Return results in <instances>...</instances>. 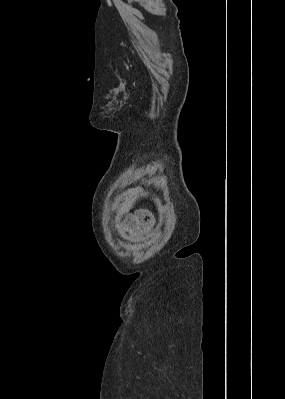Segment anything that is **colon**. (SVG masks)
Wrapping results in <instances>:
<instances>
[{"mask_svg": "<svg viewBox=\"0 0 285 399\" xmlns=\"http://www.w3.org/2000/svg\"><path fill=\"white\" fill-rule=\"evenodd\" d=\"M157 223V217L146 211L139 210L123 216L117 224V232L120 235L131 238H139L147 231L152 230Z\"/></svg>", "mask_w": 285, "mask_h": 399, "instance_id": "obj_1", "label": "colon"}]
</instances>
